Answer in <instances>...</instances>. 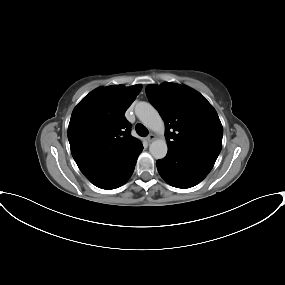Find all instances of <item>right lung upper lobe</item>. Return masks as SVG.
I'll list each match as a JSON object with an SVG mask.
<instances>
[{
  "label": "right lung upper lobe",
  "instance_id": "right-lung-upper-lobe-1",
  "mask_svg": "<svg viewBox=\"0 0 285 285\" xmlns=\"http://www.w3.org/2000/svg\"><path fill=\"white\" fill-rule=\"evenodd\" d=\"M141 85H113L90 92L72 112L68 139L72 156L88 180L115 167L142 143L131 136L124 114Z\"/></svg>",
  "mask_w": 285,
  "mask_h": 285
}]
</instances>
